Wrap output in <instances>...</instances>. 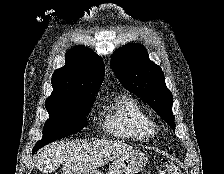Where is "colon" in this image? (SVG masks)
Returning <instances> with one entry per match:
<instances>
[{
	"mask_svg": "<svg viewBox=\"0 0 224 174\" xmlns=\"http://www.w3.org/2000/svg\"><path fill=\"white\" fill-rule=\"evenodd\" d=\"M158 174H180V171L174 164L168 162L159 170Z\"/></svg>",
	"mask_w": 224,
	"mask_h": 174,
	"instance_id": "1",
	"label": "colon"
}]
</instances>
